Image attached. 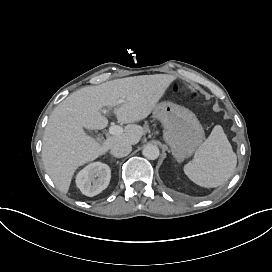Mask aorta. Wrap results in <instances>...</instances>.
Returning a JSON list of instances; mask_svg holds the SVG:
<instances>
[{"label":"aorta","instance_id":"762f6f07","mask_svg":"<svg viewBox=\"0 0 272 272\" xmlns=\"http://www.w3.org/2000/svg\"><path fill=\"white\" fill-rule=\"evenodd\" d=\"M142 154L149 160H155L159 156V148L156 145L148 144L143 148Z\"/></svg>","mask_w":272,"mask_h":272}]
</instances>
